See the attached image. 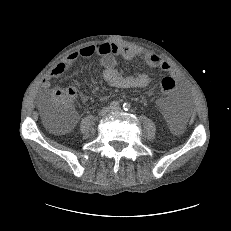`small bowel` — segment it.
Here are the masks:
<instances>
[{"label": "small bowel", "instance_id": "obj_1", "mask_svg": "<svg viewBox=\"0 0 231 231\" xmlns=\"http://www.w3.org/2000/svg\"><path fill=\"white\" fill-rule=\"evenodd\" d=\"M93 55H98L101 57L100 64L103 68V78L108 85L115 88H144L150 83V77L146 73H140L137 75H124L120 73L116 69V58L119 56L125 59H142L148 65L160 68L161 70L172 75L175 79H177L179 76L176 68L169 62L165 61L158 54L145 53L139 49L126 47L115 43H100L97 45L83 47L69 54L42 80L41 86L43 88L50 87L51 81L72 68L77 59L88 58ZM80 97L83 101L87 100V96L85 94H81ZM168 102L169 101L167 98H162L159 101L160 109L166 115H169L167 109ZM74 124L75 118L72 121L71 126Z\"/></svg>", "mask_w": 231, "mask_h": 231}]
</instances>
